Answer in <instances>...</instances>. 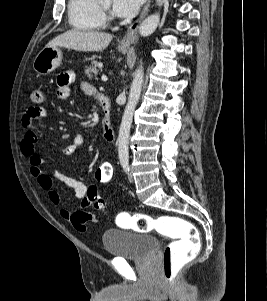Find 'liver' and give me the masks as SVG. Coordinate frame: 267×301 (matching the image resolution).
<instances>
[{
  "label": "liver",
  "instance_id": "6515ba94",
  "mask_svg": "<svg viewBox=\"0 0 267 301\" xmlns=\"http://www.w3.org/2000/svg\"><path fill=\"white\" fill-rule=\"evenodd\" d=\"M112 39L111 34L72 29L51 40L46 47H65L84 52L102 51Z\"/></svg>",
  "mask_w": 267,
  "mask_h": 301
}]
</instances>
